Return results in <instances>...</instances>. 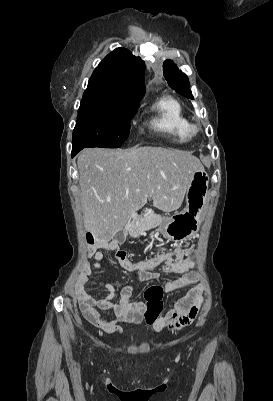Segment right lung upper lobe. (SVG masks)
<instances>
[{
  "mask_svg": "<svg viewBox=\"0 0 273 401\" xmlns=\"http://www.w3.org/2000/svg\"><path fill=\"white\" fill-rule=\"evenodd\" d=\"M145 64L124 48H117L93 72L84 99L116 101L138 106L145 93Z\"/></svg>",
  "mask_w": 273,
  "mask_h": 401,
  "instance_id": "right-lung-upper-lobe-1",
  "label": "right lung upper lobe"
}]
</instances>
